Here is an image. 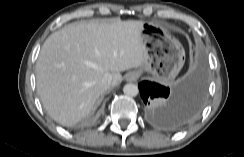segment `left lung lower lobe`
Returning <instances> with one entry per match:
<instances>
[{
	"mask_svg": "<svg viewBox=\"0 0 244 157\" xmlns=\"http://www.w3.org/2000/svg\"><path fill=\"white\" fill-rule=\"evenodd\" d=\"M149 118L170 130L182 128L200 112L206 95V72L203 63L172 87L143 81L139 85Z\"/></svg>",
	"mask_w": 244,
	"mask_h": 157,
	"instance_id": "left-lung-lower-lobe-1",
	"label": "left lung lower lobe"
}]
</instances>
